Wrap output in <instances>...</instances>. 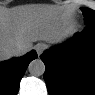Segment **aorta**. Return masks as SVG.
I'll list each match as a JSON object with an SVG mask.
<instances>
[{"label": "aorta", "instance_id": "762f6f07", "mask_svg": "<svg viewBox=\"0 0 95 95\" xmlns=\"http://www.w3.org/2000/svg\"><path fill=\"white\" fill-rule=\"evenodd\" d=\"M28 70L33 76H41L45 72V64L41 59H35L30 62Z\"/></svg>", "mask_w": 95, "mask_h": 95}]
</instances>
